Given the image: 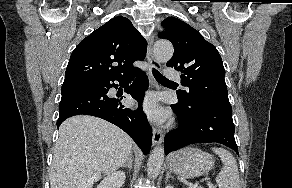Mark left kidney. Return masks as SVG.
Segmentation results:
<instances>
[{
    "label": "left kidney",
    "mask_w": 292,
    "mask_h": 188,
    "mask_svg": "<svg viewBox=\"0 0 292 188\" xmlns=\"http://www.w3.org/2000/svg\"><path fill=\"white\" fill-rule=\"evenodd\" d=\"M165 188H174V187L171 185H167Z\"/></svg>",
    "instance_id": "obj_1"
}]
</instances>
